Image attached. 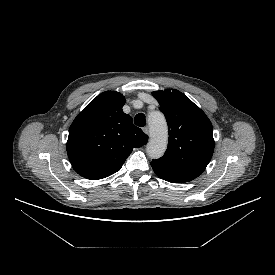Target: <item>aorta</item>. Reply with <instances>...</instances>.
I'll return each mask as SVG.
<instances>
[{"label":"aorta","instance_id":"762f6f07","mask_svg":"<svg viewBox=\"0 0 275 275\" xmlns=\"http://www.w3.org/2000/svg\"><path fill=\"white\" fill-rule=\"evenodd\" d=\"M150 128V141L147 145V153L153 158H160L166 148L168 142V130L165 117L160 112L151 113L148 117Z\"/></svg>","mask_w":275,"mask_h":275}]
</instances>
